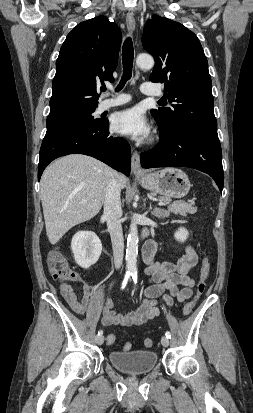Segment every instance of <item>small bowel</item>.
<instances>
[{"mask_svg":"<svg viewBox=\"0 0 253 413\" xmlns=\"http://www.w3.org/2000/svg\"><path fill=\"white\" fill-rule=\"evenodd\" d=\"M156 244L148 242L143 249V260L146 264L145 274L149 277L150 285L144 291V298L139 308L134 312L118 313L113 310L112 302L107 299L102 310L101 322L105 327L140 325L160 314L159 302L171 305L173 299L184 302L193 295V278L189 275L198 262V256L190 245L185 247L184 254L176 261H156ZM80 278L75 274L70 280L77 283ZM60 293L73 311L85 314L92 304L95 289L89 284H83L80 293L71 284H60Z\"/></svg>","mask_w":253,"mask_h":413,"instance_id":"c3829d8e","label":"small bowel"}]
</instances>
